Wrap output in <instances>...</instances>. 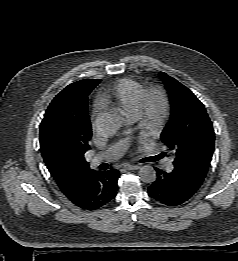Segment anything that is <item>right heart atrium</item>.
<instances>
[{"label":"right heart atrium","instance_id":"d8ad5b80","mask_svg":"<svg viewBox=\"0 0 238 261\" xmlns=\"http://www.w3.org/2000/svg\"><path fill=\"white\" fill-rule=\"evenodd\" d=\"M97 112H98V107H95V109H94V115H96Z\"/></svg>","mask_w":238,"mask_h":261}]
</instances>
